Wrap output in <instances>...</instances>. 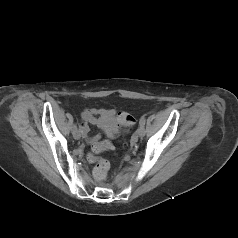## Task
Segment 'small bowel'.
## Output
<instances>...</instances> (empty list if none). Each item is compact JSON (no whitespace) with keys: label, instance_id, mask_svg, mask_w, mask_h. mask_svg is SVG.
Returning a JSON list of instances; mask_svg holds the SVG:
<instances>
[{"label":"small bowel","instance_id":"obj_1","mask_svg":"<svg viewBox=\"0 0 238 238\" xmlns=\"http://www.w3.org/2000/svg\"><path fill=\"white\" fill-rule=\"evenodd\" d=\"M118 114L120 113H117L114 109L104 108L85 109L82 112L81 117L83 123L81 125V131L91 144L93 151H96L100 145H106L108 147L110 143L108 141H101V135L88 137L89 125H96L107 137L114 138L119 133L118 124L115 122Z\"/></svg>","mask_w":238,"mask_h":238}]
</instances>
